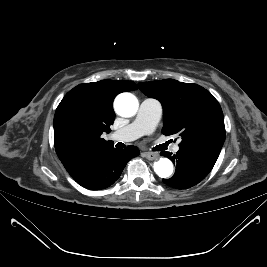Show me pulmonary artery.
<instances>
[{
	"instance_id": "1",
	"label": "pulmonary artery",
	"mask_w": 267,
	"mask_h": 267,
	"mask_svg": "<svg viewBox=\"0 0 267 267\" xmlns=\"http://www.w3.org/2000/svg\"><path fill=\"white\" fill-rule=\"evenodd\" d=\"M162 116V105L159 101L151 98L144 99L139 107L135 119L127 126L115 131L112 138L116 141H133L143 135L154 131ZM173 152L179 151V145L175 144Z\"/></svg>"
}]
</instances>
